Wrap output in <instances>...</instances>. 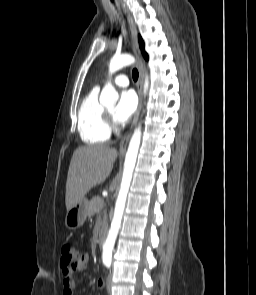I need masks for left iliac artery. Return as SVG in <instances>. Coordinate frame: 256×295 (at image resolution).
I'll return each mask as SVG.
<instances>
[{
	"label": "left iliac artery",
	"mask_w": 256,
	"mask_h": 295,
	"mask_svg": "<svg viewBox=\"0 0 256 295\" xmlns=\"http://www.w3.org/2000/svg\"><path fill=\"white\" fill-rule=\"evenodd\" d=\"M110 265H111L110 262L106 263V266H107L108 268L110 267Z\"/></svg>",
	"instance_id": "1"
}]
</instances>
